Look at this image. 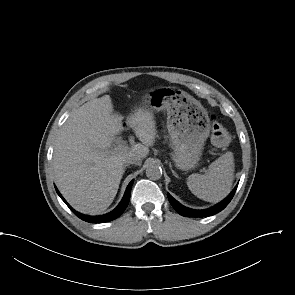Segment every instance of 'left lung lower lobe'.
Listing matches in <instances>:
<instances>
[{
    "label": "left lung lower lobe",
    "mask_w": 295,
    "mask_h": 295,
    "mask_svg": "<svg viewBox=\"0 0 295 295\" xmlns=\"http://www.w3.org/2000/svg\"><path fill=\"white\" fill-rule=\"evenodd\" d=\"M236 189H237V186L230 193V195L227 198H225L222 202H220L219 204L215 205L212 208L205 209V210L189 209V208L181 205L179 202H177L169 193H167V196H168L169 202L171 203L173 208L180 215L186 216V217H208V216H212V215L222 211L229 204L231 199L233 198Z\"/></svg>",
    "instance_id": "1"
}]
</instances>
